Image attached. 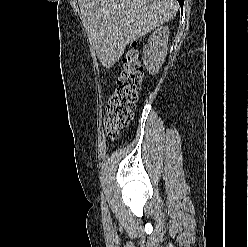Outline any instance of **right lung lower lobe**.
Instances as JSON below:
<instances>
[{
    "label": "right lung lower lobe",
    "instance_id": "98d812e1",
    "mask_svg": "<svg viewBox=\"0 0 248 247\" xmlns=\"http://www.w3.org/2000/svg\"><path fill=\"white\" fill-rule=\"evenodd\" d=\"M179 4L181 7H183V4H184V0H178Z\"/></svg>",
    "mask_w": 248,
    "mask_h": 247
}]
</instances>
